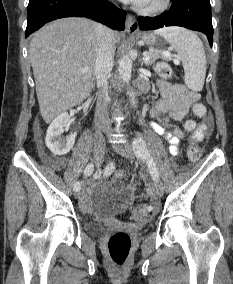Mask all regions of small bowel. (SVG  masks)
<instances>
[{
  "label": "small bowel",
  "mask_w": 233,
  "mask_h": 284,
  "mask_svg": "<svg viewBox=\"0 0 233 284\" xmlns=\"http://www.w3.org/2000/svg\"><path fill=\"white\" fill-rule=\"evenodd\" d=\"M159 89L163 99L158 103L156 112H168L175 120H181L189 111L190 107L199 99L198 94L188 91L183 85L171 84L168 82H160ZM188 122V121H187ZM196 124V123H195ZM152 129L164 136L169 143V151L172 155H176L179 151L178 143L182 137V132L178 129L167 131L163 126L152 123ZM211 127V119L209 116L203 117L202 122L192 130V140L195 142L202 141L208 134ZM49 163L56 169H60L65 165L62 158H53ZM85 207L89 206L86 200L83 202Z\"/></svg>",
  "instance_id": "small-bowel-1"
}]
</instances>
